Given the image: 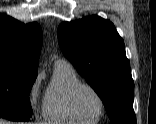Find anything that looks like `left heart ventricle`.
<instances>
[{
  "label": "left heart ventricle",
  "instance_id": "obj_1",
  "mask_svg": "<svg viewBox=\"0 0 156 124\" xmlns=\"http://www.w3.org/2000/svg\"><path fill=\"white\" fill-rule=\"evenodd\" d=\"M80 112L89 120L97 118L101 105L98 98L88 90H83L77 100Z\"/></svg>",
  "mask_w": 156,
  "mask_h": 124
}]
</instances>
